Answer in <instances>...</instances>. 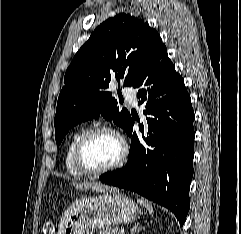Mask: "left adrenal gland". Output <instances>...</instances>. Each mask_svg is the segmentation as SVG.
Here are the masks:
<instances>
[{
    "instance_id": "obj_1",
    "label": "left adrenal gland",
    "mask_w": 241,
    "mask_h": 234,
    "mask_svg": "<svg viewBox=\"0 0 241 234\" xmlns=\"http://www.w3.org/2000/svg\"><path fill=\"white\" fill-rule=\"evenodd\" d=\"M144 229V227L140 224H136L135 226H133L131 229H130V233L129 234H136L138 233L140 230Z\"/></svg>"
}]
</instances>
